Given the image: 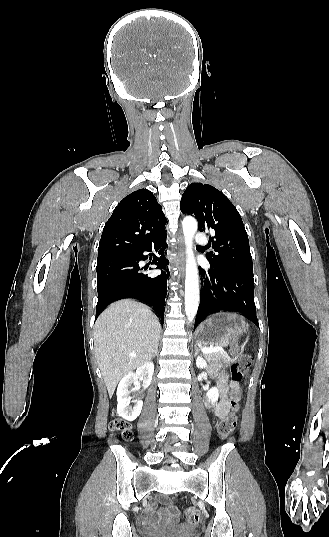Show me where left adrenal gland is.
Segmentation results:
<instances>
[{
    "label": "left adrenal gland",
    "mask_w": 329,
    "mask_h": 537,
    "mask_svg": "<svg viewBox=\"0 0 329 537\" xmlns=\"http://www.w3.org/2000/svg\"><path fill=\"white\" fill-rule=\"evenodd\" d=\"M200 351V349L197 347V345H195V355H197V353Z\"/></svg>",
    "instance_id": "left-adrenal-gland-1"
}]
</instances>
